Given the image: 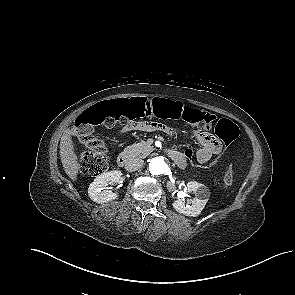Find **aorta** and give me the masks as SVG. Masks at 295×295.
Segmentation results:
<instances>
[{
	"mask_svg": "<svg viewBox=\"0 0 295 295\" xmlns=\"http://www.w3.org/2000/svg\"><path fill=\"white\" fill-rule=\"evenodd\" d=\"M149 170L153 175H163L168 172L169 166L164 157L156 156L150 160Z\"/></svg>",
	"mask_w": 295,
	"mask_h": 295,
	"instance_id": "1",
	"label": "aorta"
}]
</instances>
